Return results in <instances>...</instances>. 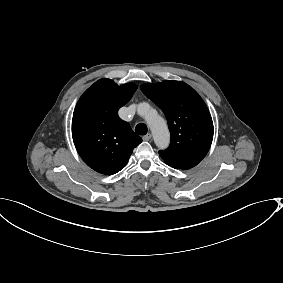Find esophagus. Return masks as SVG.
I'll use <instances>...</instances> for the list:
<instances>
[{"mask_svg": "<svg viewBox=\"0 0 283 283\" xmlns=\"http://www.w3.org/2000/svg\"><path fill=\"white\" fill-rule=\"evenodd\" d=\"M151 137H152V135L150 133H148V134L144 135L142 139L144 141H149L151 139Z\"/></svg>", "mask_w": 283, "mask_h": 283, "instance_id": "esophagus-1", "label": "esophagus"}]
</instances>
